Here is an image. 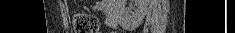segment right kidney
I'll use <instances>...</instances> for the list:
<instances>
[{"mask_svg": "<svg viewBox=\"0 0 235 33\" xmlns=\"http://www.w3.org/2000/svg\"><path fill=\"white\" fill-rule=\"evenodd\" d=\"M125 2V0H122V4ZM149 0H135V6L133 12L124 10L120 13V22H124L127 20H131L132 18H136L138 20H142L146 14L147 6H148Z\"/></svg>", "mask_w": 235, "mask_h": 33, "instance_id": "1", "label": "right kidney"}]
</instances>
